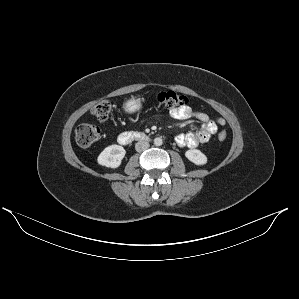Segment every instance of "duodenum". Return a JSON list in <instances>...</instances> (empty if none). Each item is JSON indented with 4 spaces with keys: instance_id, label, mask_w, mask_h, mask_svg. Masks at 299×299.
<instances>
[{
    "instance_id": "410a0bca",
    "label": "duodenum",
    "mask_w": 299,
    "mask_h": 299,
    "mask_svg": "<svg viewBox=\"0 0 299 299\" xmlns=\"http://www.w3.org/2000/svg\"><path fill=\"white\" fill-rule=\"evenodd\" d=\"M149 136L140 132H124L119 135L118 142L126 145L132 141H149Z\"/></svg>"
}]
</instances>
